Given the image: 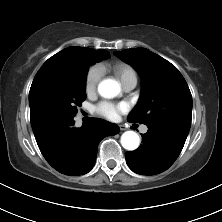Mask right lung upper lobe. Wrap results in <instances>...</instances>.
Segmentation results:
<instances>
[{"instance_id": "obj_1", "label": "right lung upper lobe", "mask_w": 222, "mask_h": 222, "mask_svg": "<svg viewBox=\"0 0 222 222\" xmlns=\"http://www.w3.org/2000/svg\"><path fill=\"white\" fill-rule=\"evenodd\" d=\"M77 53H93L95 54L97 57H99L101 60L108 58L109 57V52L100 49V50H94V49H90V48H86V47H68L66 49H63L62 51L58 52L57 54H55L54 56H52L51 58H49L42 67L46 66L49 63H52L54 61L57 60H61L64 58H67L73 54H77ZM41 67V68H42ZM40 68V69H41ZM38 127H32L33 130H36Z\"/></svg>"}]
</instances>
